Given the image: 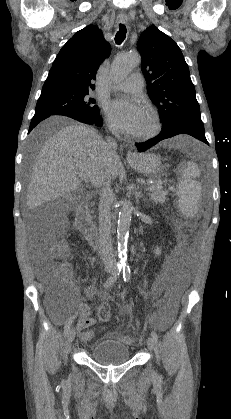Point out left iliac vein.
<instances>
[{
    "mask_svg": "<svg viewBox=\"0 0 231 419\" xmlns=\"http://www.w3.org/2000/svg\"><path fill=\"white\" fill-rule=\"evenodd\" d=\"M147 346H148V349L150 351H153L154 350L155 340L153 339V337H148V339H147Z\"/></svg>",
    "mask_w": 231,
    "mask_h": 419,
    "instance_id": "4c4485c4",
    "label": "left iliac vein"
}]
</instances>
